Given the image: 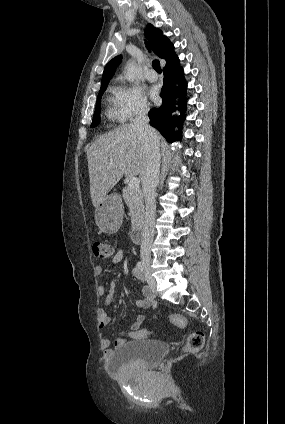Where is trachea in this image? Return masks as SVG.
I'll list each match as a JSON object with an SVG mask.
<instances>
[{"label":"trachea","mask_w":285,"mask_h":424,"mask_svg":"<svg viewBox=\"0 0 285 424\" xmlns=\"http://www.w3.org/2000/svg\"><path fill=\"white\" fill-rule=\"evenodd\" d=\"M149 48V47H148ZM152 67L158 72L161 73V67H160V63L158 60H153L152 62Z\"/></svg>","instance_id":"obj_1"}]
</instances>
